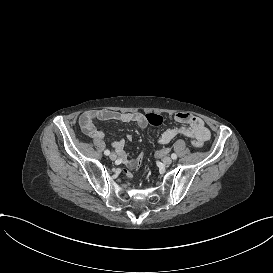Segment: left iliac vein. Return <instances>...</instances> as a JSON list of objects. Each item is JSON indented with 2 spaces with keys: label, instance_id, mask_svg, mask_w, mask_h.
<instances>
[{
  "label": "left iliac vein",
  "instance_id": "1",
  "mask_svg": "<svg viewBox=\"0 0 273 273\" xmlns=\"http://www.w3.org/2000/svg\"><path fill=\"white\" fill-rule=\"evenodd\" d=\"M163 164H165V165H170L171 163H172V159H171V157H165L163 160Z\"/></svg>",
  "mask_w": 273,
  "mask_h": 273
}]
</instances>
